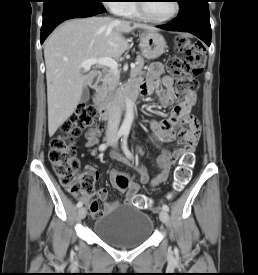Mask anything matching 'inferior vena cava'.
I'll return each instance as SVG.
<instances>
[{
    "label": "inferior vena cava",
    "mask_w": 258,
    "mask_h": 275,
    "mask_svg": "<svg viewBox=\"0 0 258 275\" xmlns=\"http://www.w3.org/2000/svg\"><path fill=\"white\" fill-rule=\"evenodd\" d=\"M121 119V110L118 105H114L113 108L109 112L108 117V126L106 130V134L109 137L116 136L118 132V127Z\"/></svg>",
    "instance_id": "602c4592"
}]
</instances>
